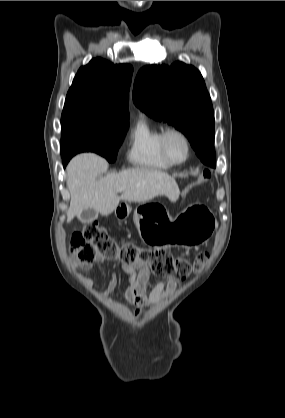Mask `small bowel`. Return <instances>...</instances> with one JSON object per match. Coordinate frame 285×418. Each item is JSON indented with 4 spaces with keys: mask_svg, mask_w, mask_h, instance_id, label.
I'll use <instances>...</instances> for the list:
<instances>
[{
    "mask_svg": "<svg viewBox=\"0 0 285 418\" xmlns=\"http://www.w3.org/2000/svg\"><path fill=\"white\" fill-rule=\"evenodd\" d=\"M104 258L97 256L95 264H102ZM70 262L73 267L81 272H88L93 269L92 265H84L78 262L76 257L72 256ZM122 268L128 275L129 284L125 290V300L136 307L139 312L145 305H154L160 301L167 293V291L174 290L183 280L170 281L168 283H158L151 292L147 295V285L151 276L150 267L148 263L138 262L132 264L122 263ZM84 281L87 286L94 285V279L91 276H85ZM118 279L114 275L105 289V295H109L116 289Z\"/></svg>",
    "mask_w": 285,
    "mask_h": 418,
    "instance_id": "1",
    "label": "small bowel"
}]
</instances>
